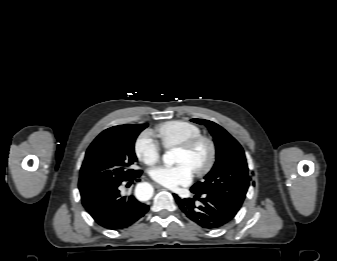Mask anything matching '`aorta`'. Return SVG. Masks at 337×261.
I'll return each instance as SVG.
<instances>
[{"label": "aorta", "instance_id": "aorta-1", "mask_svg": "<svg viewBox=\"0 0 337 261\" xmlns=\"http://www.w3.org/2000/svg\"><path fill=\"white\" fill-rule=\"evenodd\" d=\"M175 149L167 151L163 155V161L167 165H172L175 163ZM153 188L149 183L143 182L139 183L135 188V195L139 200L146 201L152 197Z\"/></svg>", "mask_w": 337, "mask_h": 261}]
</instances>
